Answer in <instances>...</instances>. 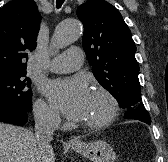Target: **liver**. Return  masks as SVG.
<instances>
[{
  "label": "liver",
  "instance_id": "liver-1",
  "mask_svg": "<svg viewBox=\"0 0 168 162\" xmlns=\"http://www.w3.org/2000/svg\"><path fill=\"white\" fill-rule=\"evenodd\" d=\"M51 145L40 147L28 129L0 123V162H55Z\"/></svg>",
  "mask_w": 168,
  "mask_h": 162
}]
</instances>
